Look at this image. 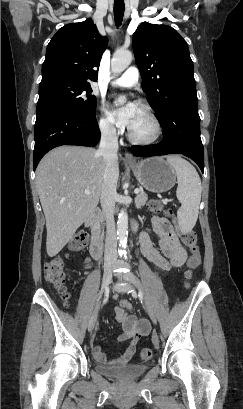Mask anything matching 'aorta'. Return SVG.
<instances>
[{"instance_id": "1", "label": "aorta", "mask_w": 243, "mask_h": 409, "mask_svg": "<svg viewBox=\"0 0 243 409\" xmlns=\"http://www.w3.org/2000/svg\"><path fill=\"white\" fill-rule=\"evenodd\" d=\"M133 55L128 50H119L116 51L113 55L111 61V70L114 74L118 75L123 72L132 62ZM126 102L125 96L118 97L114 104L116 106L123 105ZM128 215L127 212L122 209L118 215L117 221V241L119 243V253L125 254L124 248L126 247L127 243V234H128Z\"/></svg>"}]
</instances>
